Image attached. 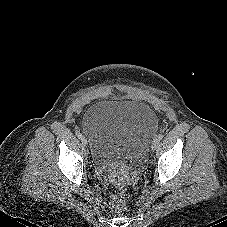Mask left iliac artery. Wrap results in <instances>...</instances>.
Masks as SVG:
<instances>
[{
	"instance_id": "1",
	"label": "left iliac artery",
	"mask_w": 227,
	"mask_h": 227,
	"mask_svg": "<svg viewBox=\"0 0 227 227\" xmlns=\"http://www.w3.org/2000/svg\"><path fill=\"white\" fill-rule=\"evenodd\" d=\"M157 138H158V140H162L163 134H159V135L157 136Z\"/></svg>"
}]
</instances>
